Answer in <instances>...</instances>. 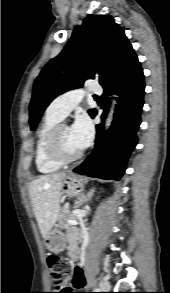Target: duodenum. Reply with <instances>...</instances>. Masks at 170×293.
<instances>
[{
  "mask_svg": "<svg viewBox=\"0 0 170 293\" xmlns=\"http://www.w3.org/2000/svg\"><path fill=\"white\" fill-rule=\"evenodd\" d=\"M77 254H78L77 249L74 247V245H72V246H71V255H72L73 257H76Z\"/></svg>",
  "mask_w": 170,
  "mask_h": 293,
  "instance_id": "410a0bca",
  "label": "duodenum"
}]
</instances>
